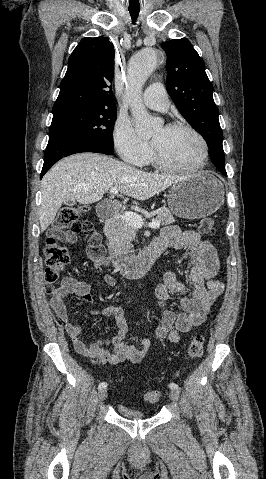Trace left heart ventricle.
Returning a JSON list of instances; mask_svg holds the SVG:
<instances>
[{
	"label": "left heart ventricle",
	"mask_w": 266,
	"mask_h": 479,
	"mask_svg": "<svg viewBox=\"0 0 266 479\" xmlns=\"http://www.w3.org/2000/svg\"><path fill=\"white\" fill-rule=\"evenodd\" d=\"M152 143L162 159L177 166H193L201 157L197 138L185 130L159 128L152 135Z\"/></svg>",
	"instance_id": "1"
}]
</instances>
